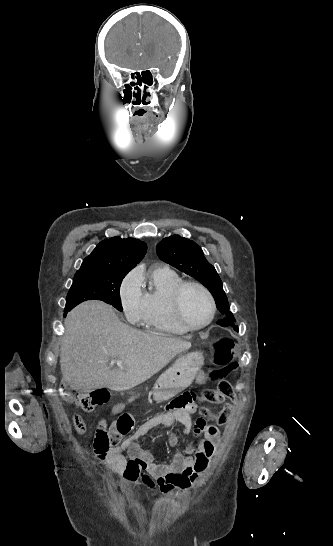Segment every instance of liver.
Here are the masks:
<instances>
[{
    "instance_id": "1",
    "label": "liver",
    "mask_w": 333,
    "mask_h": 546,
    "mask_svg": "<svg viewBox=\"0 0 333 546\" xmlns=\"http://www.w3.org/2000/svg\"><path fill=\"white\" fill-rule=\"evenodd\" d=\"M189 348V341L132 329L102 301H86L65 320L60 348L63 382L74 390H129ZM110 358H118L122 367L111 370Z\"/></svg>"
}]
</instances>
